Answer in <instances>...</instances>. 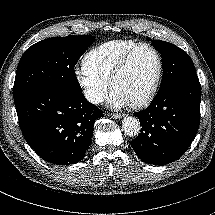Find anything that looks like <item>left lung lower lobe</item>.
<instances>
[{
	"instance_id": "obj_1",
	"label": "left lung lower lobe",
	"mask_w": 215,
	"mask_h": 215,
	"mask_svg": "<svg viewBox=\"0 0 215 215\" xmlns=\"http://www.w3.org/2000/svg\"><path fill=\"white\" fill-rule=\"evenodd\" d=\"M201 87L196 73L179 78L159 92L143 111L134 113L141 133L131 141L145 163L164 165L179 159L196 136Z\"/></svg>"
}]
</instances>
